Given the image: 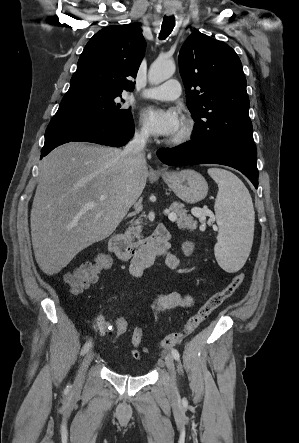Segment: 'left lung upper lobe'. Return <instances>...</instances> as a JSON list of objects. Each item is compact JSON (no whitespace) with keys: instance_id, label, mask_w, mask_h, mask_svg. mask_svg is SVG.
I'll return each mask as SVG.
<instances>
[{"instance_id":"obj_1","label":"left lung upper lobe","mask_w":299,"mask_h":443,"mask_svg":"<svg viewBox=\"0 0 299 443\" xmlns=\"http://www.w3.org/2000/svg\"><path fill=\"white\" fill-rule=\"evenodd\" d=\"M179 69L195 121L193 141L254 142L246 78L230 46L200 32L193 33L180 50Z\"/></svg>"}]
</instances>
